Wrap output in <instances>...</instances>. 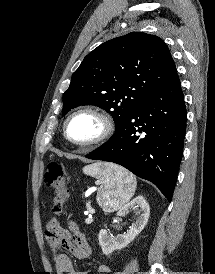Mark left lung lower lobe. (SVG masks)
Instances as JSON below:
<instances>
[{
  "mask_svg": "<svg viewBox=\"0 0 215 274\" xmlns=\"http://www.w3.org/2000/svg\"><path fill=\"white\" fill-rule=\"evenodd\" d=\"M185 133L186 108L176 74L140 103L108 142L85 157L127 168L171 201Z\"/></svg>",
  "mask_w": 215,
  "mask_h": 274,
  "instance_id": "0a47b994",
  "label": "left lung lower lobe"
}]
</instances>
